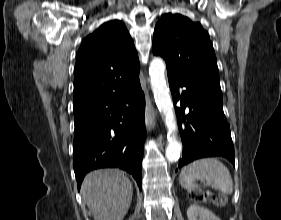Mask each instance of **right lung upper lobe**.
<instances>
[{
  "label": "right lung upper lobe",
  "instance_id": "1",
  "mask_svg": "<svg viewBox=\"0 0 281 220\" xmlns=\"http://www.w3.org/2000/svg\"><path fill=\"white\" fill-rule=\"evenodd\" d=\"M139 69L125 25L118 20L104 23L82 41L77 52L73 111L132 87Z\"/></svg>",
  "mask_w": 281,
  "mask_h": 220
}]
</instances>
